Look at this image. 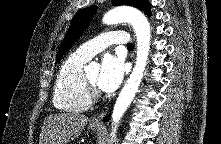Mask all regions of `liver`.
Instances as JSON below:
<instances>
[{"instance_id":"1","label":"liver","mask_w":221,"mask_h":144,"mask_svg":"<svg viewBox=\"0 0 221 144\" xmlns=\"http://www.w3.org/2000/svg\"><path fill=\"white\" fill-rule=\"evenodd\" d=\"M88 122L80 113H58L49 115L44 121L39 144H67L77 138Z\"/></svg>"}]
</instances>
